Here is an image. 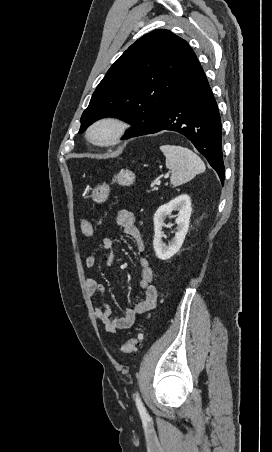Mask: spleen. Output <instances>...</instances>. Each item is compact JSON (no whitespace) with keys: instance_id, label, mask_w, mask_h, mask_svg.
Returning <instances> with one entry per match:
<instances>
[{"instance_id":"1","label":"spleen","mask_w":272,"mask_h":452,"mask_svg":"<svg viewBox=\"0 0 272 452\" xmlns=\"http://www.w3.org/2000/svg\"><path fill=\"white\" fill-rule=\"evenodd\" d=\"M160 150L166 158V167L171 170L170 183L173 186H180L205 171L204 162L188 148L162 145Z\"/></svg>"}]
</instances>
